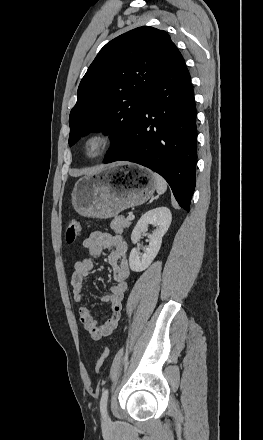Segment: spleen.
<instances>
[{
    "label": "spleen",
    "mask_w": 263,
    "mask_h": 440,
    "mask_svg": "<svg viewBox=\"0 0 263 440\" xmlns=\"http://www.w3.org/2000/svg\"><path fill=\"white\" fill-rule=\"evenodd\" d=\"M156 182V191L159 195L165 193L167 190V182L165 179L157 173H153Z\"/></svg>",
    "instance_id": "obj_1"
}]
</instances>
